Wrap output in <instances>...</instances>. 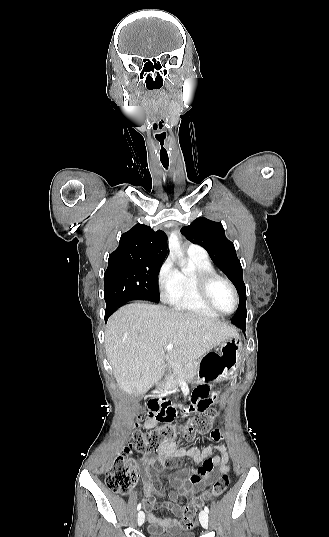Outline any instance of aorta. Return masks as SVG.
I'll list each match as a JSON object with an SVG mask.
<instances>
[{"label":"aorta","instance_id":"1","mask_svg":"<svg viewBox=\"0 0 329 537\" xmlns=\"http://www.w3.org/2000/svg\"><path fill=\"white\" fill-rule=\"evenodd\" d=\"M169 249L170 251H174L179 255H182L180 250V244L175 234H171V236L169 237Z\"/></svg>","mask_w":329,"mask_h":537}]
</instances>
